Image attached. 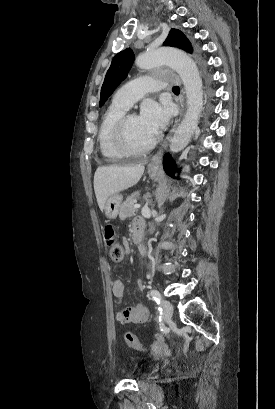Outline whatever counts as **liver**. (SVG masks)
Masks as SVG:
<instances>
[{
    "instance_id": "6515ba94",
    "label": "liver",
    "mask_w": 275,
    "mask_h": 409,
    "mask_svg": "<svg viewBox=\"0 0 275 409\" xmlns=\"http://www.w3.org/2000/svg\"><path fill=\"white\" fill-rule=\"evenodd\" d=\"M145 166H98L94 174V190L100 211H104L105 202L110 194H116L140 180Z\"/></svg>"
}]
</instances>
